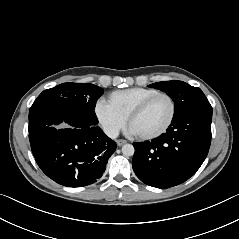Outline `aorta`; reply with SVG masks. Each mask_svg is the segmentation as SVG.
Wrapping results in <instances>:
<instances>
[{"instance_id":"aorta-1","label":"aorta","mask_w":239,"mask_h":239,"mask_svg":"<svg viewBox=\"0 0 239 239\" xmlns=\"http://www.w3.org/2000/svg\"><path fill=\"white\" fill-rule=\"evenodd\" d=\"M134 147L131 144H125L122 146V154L124 156H133L134 155Z\"/></svg>"}]
</instances>
